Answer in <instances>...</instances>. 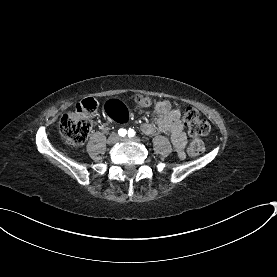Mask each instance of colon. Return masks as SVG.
I'll list each match as a JSON object with an SVG mask.
<instances>
[{"label": "colon", "instance_id": "1", "mask_svg": "<svg viewBox=\"0 0 277 277\" xmlns=\"http://www.w3.org/2000/svg\"><path fill=\"white\" fill-rule=\"evenodd\" d=\"M128 99L138 108H145L151 105V99L145 95H131ZM97 110V103L94 95H89L81 101L80 107L75 110L66 112L60 119V133L70 145H78L82 143L91 128L92 120ZM182 116L189 134L192 137L188 152L190 155L196 156L205 150V143L201 139L208 135L210 131L209 123L200 117L198 110L191 107H184ZM111 116L112 114H108Z\"/></svg>", "mask_w": 277, "mask_h": 277}]
</instances>
